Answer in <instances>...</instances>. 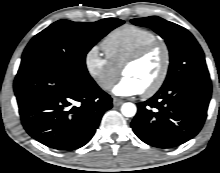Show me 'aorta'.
<instances>
[{
	"label": "aorta",
	"instance_id": "obj_1",
	"mask_svg": "<svg viewBox=\"0 0 220 173\" xmlns=\"http://www.w3.org/2000/svg\"><path fill=\"white\" fill-rule=\"evenodd\" d=\"M137 108L135 104L127 102L121 107V112L126 117H133L136 114Z\"/></svg>",
	"mask_w": 220,
	"mask_h": 173
}]
</instances>
